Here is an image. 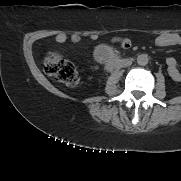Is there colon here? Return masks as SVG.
<instances>
[{
	"label": "colon",
	"mask_w": 181,
	"mask_h": 181,
	"mask_svg": "<svg viewBox=\"0 0 181 181\" xmlns=\"http://www.w3.org/2000/svg\"><path fill=\"white\" fill-rule=\"evenodd\" d=\"M44 71L68 87L75 88L80 83V76L75 65L59 54H48L43 61Z\"/></svg>",
	"instance_id": "colon-1"
}]
</instances>
